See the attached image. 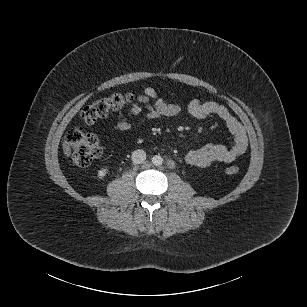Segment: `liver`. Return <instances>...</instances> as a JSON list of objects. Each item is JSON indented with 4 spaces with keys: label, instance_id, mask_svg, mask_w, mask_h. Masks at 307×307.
<instances>
[{
    "label": "liver",
    "instance_id": "liver-1",
    "mask_svg": "<svg viewBox=\"0 0 307 307\" xmlns=\"http://www.w3.org/2000/svg\"><path fill=\"white\" fill-rule=\"evenodd\" d=\"M62 147H63V152H64V154H65L67 157H69L70 154H71L70 145H69L67 142H63Z\"/></svg>",
    "mask_w": 307,
    "mask_h": 307
}]
</instances>
